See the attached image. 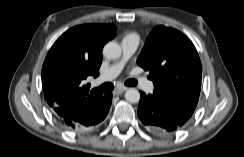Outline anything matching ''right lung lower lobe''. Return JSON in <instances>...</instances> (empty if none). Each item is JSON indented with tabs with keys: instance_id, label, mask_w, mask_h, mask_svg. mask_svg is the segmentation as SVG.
<instances>
[{
	"instance_id": "right-lung-lower-lobe-1",
	"label": "right lung lower lobe",
	"mask_w": 244,
	"mask_h": 157,
	"mask_svg": "<svg viewBox=\"0 0 244 157\" xmlns=\"http://www.w3.org/2000/svg\"><path fill=\"white\" fill-rule=\"evenodd\" d=\"M112 103V94L104 95L103 99L96 104L87 105L82 112L61 118L56 115L57 119L68 129L73 131H85L96 127L100 124L109 112Z\"/></svg>"
}]
</instances>
